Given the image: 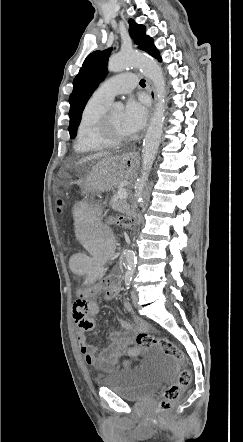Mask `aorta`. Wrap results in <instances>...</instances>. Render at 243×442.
Listing matches in <instances>:
<instances>
[{
  "instance_id": "aorta-1",
  "label": "aorta",
  "mask_w": 243,
  "mask_h": 442,
  "mask_svg": "<svg viewBox=\"0 0 243 442\" xmlns=\"http://www.w3.org/2000/svg\"><path fill=\"white\" fill-rule=\"evenodd\" d=\"M127 68L140 69L141 72L152 81L157 98V104L143 140L141 176L135 184L134 199L135 203L139 204L142 201L149 172L161 141L165 113L166 84L160 65L156 60L146 54L137 53L135 51L123 52L109 59L108 70L110 72L116 73ZM115 107L121 109L123 105L117 103ZM124 260L127 264L128 273H132L135 267L134 252L127 250L124 253Z\"/></svg>"
}]
</instances>
